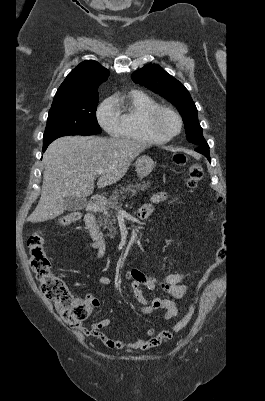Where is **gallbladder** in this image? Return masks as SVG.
I'll return each instance as SVG.
<instances>
[{
	"label": "gallbladder",
	"instance_id": "bac80fb5",
	"mask_svg": "<svg viewBox=\"0 0 265 401\" xmlns=\"http://www.w3.org/2000/svg\"><path fill=\"white\" fill-rule=\"evenodd\" d=\"M87 205L86 198L80 196H65L64 207L66 211H82Z\"/></svg>",
	"mask_w": 265,
	"mask_h": 401
}]
</instances>
